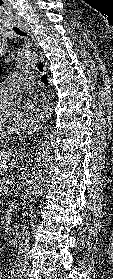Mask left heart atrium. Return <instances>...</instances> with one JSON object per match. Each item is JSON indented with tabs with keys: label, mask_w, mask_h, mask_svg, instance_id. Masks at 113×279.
<instances>
[{
	"label": "left heart atrium",
	"mask_w": 113,
	"mask_h": 279,
	"mask_svg": "<svg viewBox=\"0 0 113 279\" xmlns=\"http://www.w3.org/2000/svg\"><path fill=\"white\" fill-rule=\"evenodd\" d=\"M50 103L48 99L37 96L31 97L23 107L21 113V126L27 132L41 129L50 116Z\"/></svg>",
	"instance_id": "obj_1"
}]
</instances>
